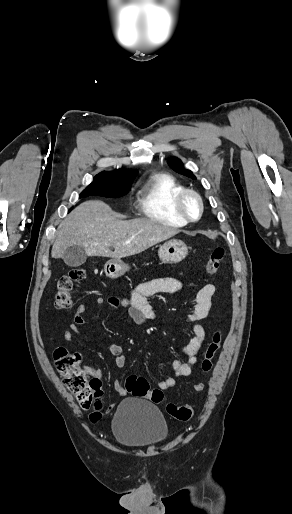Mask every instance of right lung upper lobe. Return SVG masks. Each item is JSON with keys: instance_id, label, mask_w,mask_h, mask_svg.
I'll use <instances>...</instances> for the list:
<instances>
[{"instance_id": "right-lung-upper-lobe-1", "label": "right lung upper lobe", "mask_w": 292, "mask_h": 514, "mask_svg": "<svg viewBox=\"0 0 292 514\" xmlns=\"http://www.w3.org/2000/svg\"><path fill=\"white\" fill-rule=\"evenodd\" d=\"M138 174L137 170H123L118 169L112 172L103 171L96 175L94 178L109 179V180H134Z\"/></svg>"}]
</instances>
